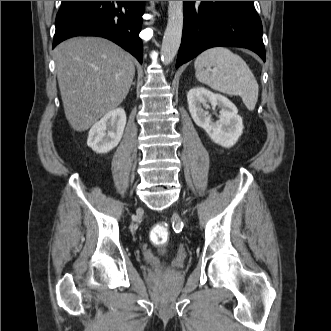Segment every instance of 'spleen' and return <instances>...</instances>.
<instances>
[{
	"mask_svg": "<svg viewBox=\"0 0 331 331\" xmlns=\"http://www.w3.org/2000/svg\"><path fill=\"white\" fill-rule=\"evenodd\" d=\"M194 66L199 82L225 94L239 95L247 109L254 110L259 86L252 71L239 55L225 47H214L197 56Z\"/></svg>",
	"mask_w": 331,
	"mask_h": 331,
	"instance_id": "3e777b00",
	"label": "spleen"
}]
</instances>
